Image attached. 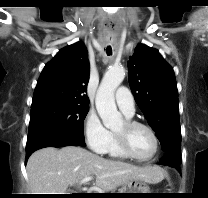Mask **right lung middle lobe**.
Segmentation results:
<instances>
[{
	"label": "right lung middle lobe",
	"mask_w": 208,
	"mask_h": 198,
	"mask_svg": "<svg viewBox=\"0 0 208 198\" xmlns=\"http://www.w3.org/2000/svg\"><path fill=\"white\" fill-rule=\"evenodd\" d=\"M89 106L72 102L31 107L28 138L48 131H65L84 139L83 121Z\"/></svg>",
	"instance_id": "right-lung-middle-lobe-1"
}]
</instances>
